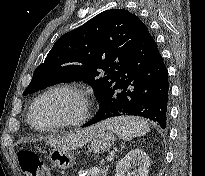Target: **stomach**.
Here are the masks:
<instances>
[{
  "label": "stomach",
  "instance_id": "obj_1",
  "mask_svg": "<svg viewBox=\"0 0 205 176\" xmlns=\"http://www.w3.org/2000/svg\"><path fill=\"white\" fill-rule=\"evenodd\" d=\"M116 138L114 132L97 124L91 127V134L88 139V146L95 153L108 151L114 144ZM49 160L52 165L58 169L66 170L75 164V156L71 150L54 148L50 151Z\"/></svg>",
  "mask_w": 205,
  "mask_h": 176
}]
</instances>
